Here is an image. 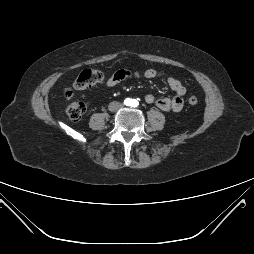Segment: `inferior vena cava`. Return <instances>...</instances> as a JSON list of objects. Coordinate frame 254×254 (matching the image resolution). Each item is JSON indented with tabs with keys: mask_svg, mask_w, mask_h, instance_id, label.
Instances as JSON below:
<instances>
[{
	"mask_svg": "<svg viewBox=\"0 0 254 254\" xmlns=\"http://www.w3.org/2000/svg\"><path fill=\"white\" fill-rule=\"evenodd\" d=\"M117 105H118L119 107H121V106H122V104H121V103H117Z\"/></svg>",
	"mask_w": 254,
	"mask_h": 254,
	"instance_id": "1",
	"label": "inferior vena cava"
}]
</instances>
